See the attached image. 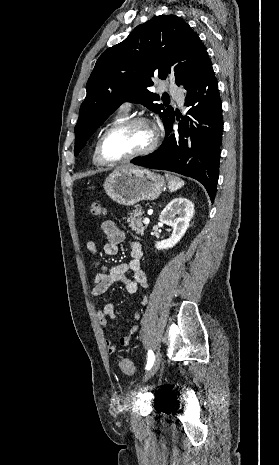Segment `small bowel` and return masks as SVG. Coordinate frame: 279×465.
<instances>
[{
    "label": "small bowel",
    "instance_id": "obj_1",
    "mask_svg": "<svg viewBox=\"0 0 279 465\" xmlns=\"http://www.w3.org/2000/svg\"><path fill=\"white\" fill-rule=\"evenodd\" d=\"M101 230L106 236L107 240L103 246V252L106 255H116L118 253V246L125 239L123 231H121L113 221L107 220L101 224ZM86 248L92 256H97L98 247L96 239H90L86 243ZM130 260L126 263H121L115 266L107 267L101 266L93 280L92 294L94 296H101L108 288L117 282H123L125 289L130 294L138 292L139 288H148L147 276L141 266L142 247L137 241L129 242ZM98 265V263L96 264ZM127 273H131V278L127 277ZM147 303L145 297L142 304ZM115 317L114 306L106 304L102 309L97 312V319L101 327L107 326L108 320ZM135 318L139 319L140 314L136 313ZM138 329L137 325L130 328L129 334L120 339L121 346H128L131 341V335ZM105 345L109 354L116 352V345L110 339H105Z\"/></svg>",
    "mask_w": 279,
    "mask_h": 465
}]
</instances>
